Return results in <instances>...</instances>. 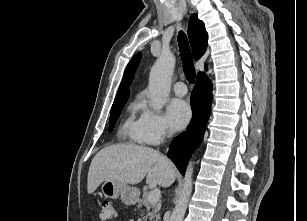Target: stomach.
<instances>
[{"mask_svg":"<svg viewBox=\"0 0 307 221\" xmlns=\"http://www.w3.org/2000/svg\"><path fill=\"white\" fill-rule=\"evenodd\" d=\"M102 194L107 198L117 199L120 198L122 202L127 205L135 204L138 199L140 192L137 188L131 187L128 184L106 180L101 186Z\"/></svg>","mask_w":307,"mask_h":221,"instance_id":"1","label":"stomach"}]
</instances>
